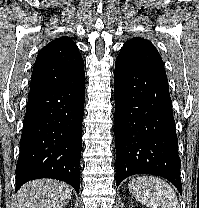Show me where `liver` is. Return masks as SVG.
Here are the masks:
<instances>
[{
  "mask_svg": "<svg viewBox=\"0 0 199 208\" xmlns=\"http://www.w3.org/2000/svg\"><path fill=\"white\" fill-rule=\"evenodd\" d=\"M72 196L71 187L53 179L26 183L17 195V208H63Z\"/></svg>",
  "mask_w": 199,
  "mask_h": 208,
  "instance_id": "1",
  "label": "liver"
}]
</instances>
